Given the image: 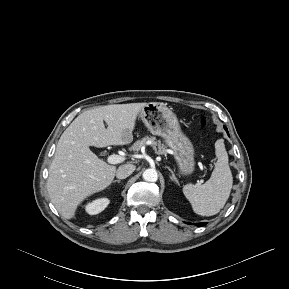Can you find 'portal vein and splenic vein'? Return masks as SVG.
<instances>
[{"instance_id":"portal-vein-and-splenic-vein-1","label":"portal vein and splenic vein","mask_w":289,"mask_h":289,"mask_svg":"<svg viewBox=\"0 0 289 289\" xmlns=\"http://www.w3.org/2000/svg\"><path fill=\"white\" fill-rule=\"evenodd\" d=\"M124 160H125L124 157H122V156H120V155H116V154L110 155V156L107 158V162L110 163V164L122 163Z\"/></svg>"}]
</instances>
